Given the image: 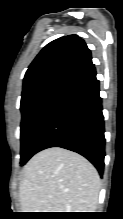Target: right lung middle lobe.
Listing matches in <instances>:
<instances>
[{
  "label": "right lung middle lobe",
  "instance_id": "right-lung-middle-lobe-1",
  "mask_svg": "<svg viewBox=\"0 0 123 219\" xmlns=\"http://www.w3.org/2000/svg\"><path fill=\"white\" fill-rule=\"evenodd\" d=\"M68 84L69 80H54L22 94L21 166L33 156L34 141L52 107Z\"/></svg>",
  "mask_w": 123,
  "mask_h": 219
}]
</instances>
